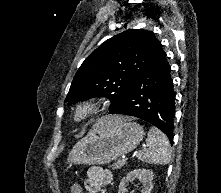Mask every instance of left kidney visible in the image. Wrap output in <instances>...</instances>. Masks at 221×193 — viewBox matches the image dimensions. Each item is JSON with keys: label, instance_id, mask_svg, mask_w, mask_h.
<instances>
[{"label": "left kidney", "instance_id": "1", "mask_svg": "<svg viewBox=\"0 0 221 193\" xmlns=\"http://www.w3.org/2000/svg\"><path fill=\"white\" fill-rule=\"evenodd\" d=\"M153 177L154 174L152 170L135 169L129 172L127 176L121 180L118 193H126L127 185L135 179H138L143 185L141 193H151V190L153 189Z\"/></svg>", "mask_w": 221, "mask_h": 193}]
</instances>
